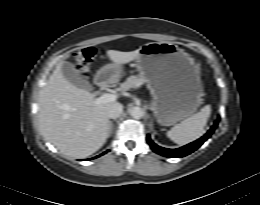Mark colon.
<instances>
[{
    "instance_id": "1",
    "label": "colon",
    "mask_w": 260,
    "mask_h": 205,
    "mask_svg": "<svg viewBox=\"0 0 260 205\" xmlns=\"http://www.w3.org/2000/svg\"><path fill=\"white\" fill-rule=\"evenodd\" d=\"M96 48L93 46L86 47L76 54L77 66L81 72H86L96 57Z\"/></svg>"
}]
</instances>
